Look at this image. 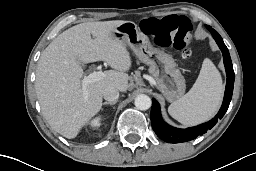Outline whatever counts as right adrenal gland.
<instances>
[{"label": "right adrenal gland", "instance_id": "2a0ac1e0", "mask_svg": "<svg viewBox=\"0 0 256 171\" xmlns=\"http://www.w3.org/2000/svg\"><path fill=\"white\" fill-rule=\"evenodd\" d=\"M117 103V101H113V102H104L102 105H115Z\"/></svg>", "mask_w": 256, "mask_h": 171}]
</instances>
